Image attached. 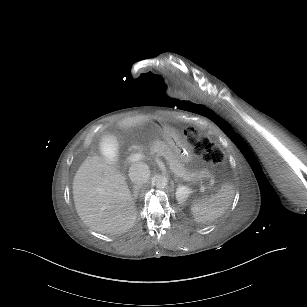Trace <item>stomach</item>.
I'll return each mask as SVG.
<instances>
[{"label":"stomach","instance_id":"obj_1","mask_svg":"<svg viewBox=\"0 0 307 307\" xmlns=\"http://www.w3.org/2000/svg\"><path fill=\"white\" fill-rule=\"evenodd\" d=\"M162 132L178 160L182 164H189L192 161V149L185 137L178 130L166 125L163 126Z\"/></svg>","mask_w":307,"mask_h":307}]
</instances>
